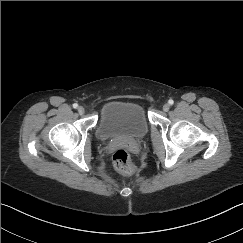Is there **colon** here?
<instances>
[{
  "mask_svg": "<svg viewBox=\"0 0 243 243\" xmlns=\"http://www.w3.org/2000/svg\"><path fill=\"white\" fill-rule=\"evenodd\" d=\"M113 163L115 168L123 174L132 175L136 172V168L131 161L130 155L125 149H119L114 153Z\"/></svg>",
  "mask_w": 243,
  "mask_h": 243,
  "instance_id": "1",
  "label": "colon"
}]
</instances>
